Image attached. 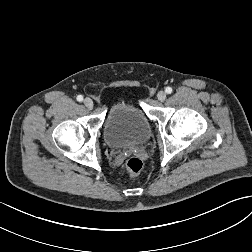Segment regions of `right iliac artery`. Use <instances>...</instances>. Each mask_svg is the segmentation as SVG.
<instances>
[{"label":"right iliac artery","mask_w":252,"mask_h":252,"mask_svg":"<svg viewBox=\"0 0 252 252\" xmlns=\"http://www.w3.org/2000/svg\"><path fill=\"white\" fill-rule=\"evenodd\" d=\"M76 99H77V101L82 102L83 101V96L82 95H78Z\"/></svg>","instance_id":"82829eb1"}]
</instances>
